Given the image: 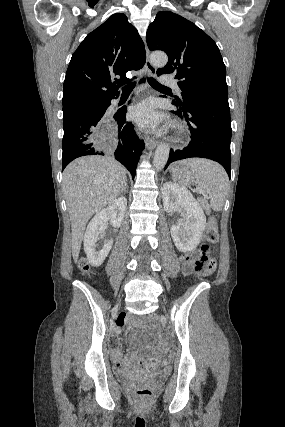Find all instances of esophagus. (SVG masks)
I'll return each instance as SVG.
<instances>
[{"instance_id":"obj_1","label":"esophagus","mask_w":285,"mask_h":427,"mask_svg":"<svg viewBox=\"0 0 285 427\" xmlns=\"http://www.w3.org/2000/svg\"><path fill=\"white\" fill-rule=\"evenodd\" d=\"M146 47V62H145V66L149 72V74L151 76H155L156 75V68L152 65L151 61H150V53H149V49L147 47V45L145 44ZM158 144V140L154 137L151 136H147L146 137V147L148 149L150 148H155Z\"/></svg>"}]
</instances>
